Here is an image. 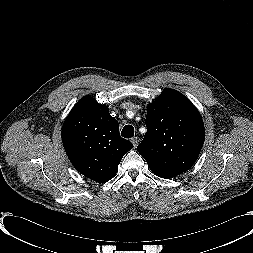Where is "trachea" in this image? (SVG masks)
<instances>
[{"instance_id":"1","label":"trachea","mask_w":253,"mask_h":253,"mask_svg":"<svg viewBox=\"0 0 253 253\" xmlns=\"http://www.w3.org/2000/svg\"><path fill=\"white\" fill-rule=\"evenodd\" d=\"M121 135L124 138H131L134 136V128L132 125H126L122 131H121Z\"/></svg>"}]
</instances>
